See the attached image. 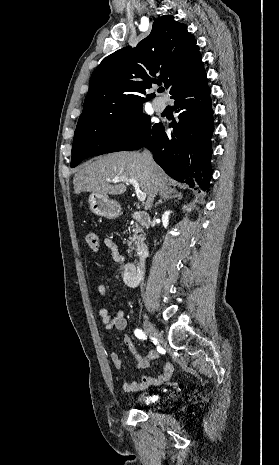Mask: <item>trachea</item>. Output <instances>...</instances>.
<instances>
[{
  "label": "trachea",
  "instance_id": "3493384b",
  "mask_svg": "<svg viewBox=\"0 0 279 465\" xmlns=\"http://www.w3.org/2000/svg\"><path fill=\"white\" fill-rule=\"evenodd\" d=\"M158 91L159 92H164V87H159Z\"/></svg>",
  "mask_w": 279,
  "mask_h": 465
}]
</instances>
